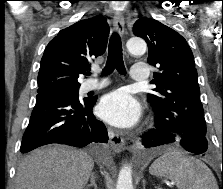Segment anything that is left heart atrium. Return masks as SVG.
Instances as JSON below:
<instances>
[{
  "label": "left heart atrium",
  "mask_w": 223,
  "mask_h": 189,
  "mask_svg": "<svg viewBox=\"0 0 223 189\" xmlns=\"http://www.w3.org/2000/svg\"><path fill=\"white\" fill-rule=\"evenodd\" d=\"M97 111L102 119L118 127H130L140 116L138 102L122 89L106 94L101 99Z\"/></svg>",
  "instance_id": "1"
}]
</instances>
